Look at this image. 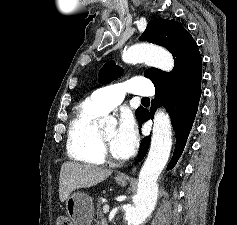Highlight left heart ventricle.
<instances>
[{
    "instance_id": "b2bd125f",
    "label": "left heart ventricle",
    "mask_w": 237,
    "mask_h": 225,
    "mask_svg": "<svg viewBox=\"0 0 237 225\" xmlns=\"http://www.w3.org/2000/svg\"><path fill=\"white\" fill-rule=\"evenodd\" d=\"M102 132L110 146V149L113 153V155L117 158H120L118 156V154L116 153L115 149H114V140H115V136H116V127L115 126H108L102 129Z\"/></svg>"
}]
</instances>
